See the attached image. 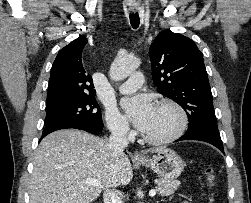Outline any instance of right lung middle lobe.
<instances>
[{
	"mask_svg": "<svg viewBox=\"0 0 251 203\" xmlns=\"http://www.w3.org/2000/svg\"><path fill=\"white\" fill-rule=\"evenodd\" d=\"M71 120L82 121L102 130V116L95 97L46 107L45 126Z\"/></svg>",
	"mask_w": 251,
	"mask_h": 203,
	"instance_id": "dd1d6c3e",
	"label": "right lung middle lobe"
}]
</instances>
